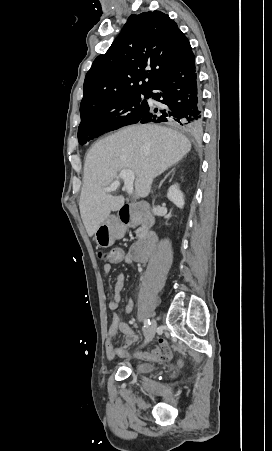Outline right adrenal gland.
I'll list each match as a JSON object with an SVG mask.
<instances>
[{"label": "right adrenal gland", "mask_w": 272, "mask_h": 451, "mask_svg": "<svg viewBox=\"0 0 272 451\" xmlns=\"http://www.w3.org/2000/svg\"><path fill=\"white\" fill-rule=\"evenodd\" d=\"M174 170H175V168H173V170H171V172H174ZM171 172H169V174H167V176H165L164 180H161V182H160L158 188H161L163 182H165L166 178H168V176H170Z\"/></svg>", "instance_id": "2a0ac1e0"}]
</instances>
